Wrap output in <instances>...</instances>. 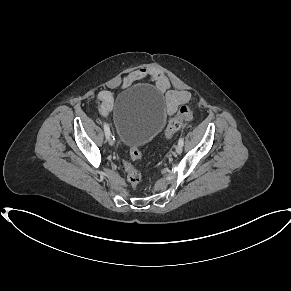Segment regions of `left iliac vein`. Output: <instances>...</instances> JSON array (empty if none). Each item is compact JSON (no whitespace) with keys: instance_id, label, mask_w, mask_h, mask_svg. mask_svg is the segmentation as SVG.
I'll list each match as a JSON object with an SVG mask.
<instances>
[{"instance_id":"left-iliac-vein-1","label":"left iliac vein","mask_w":291,"mask_h":291,"mask_svg":"<svg viewBox=\"0 0 291 291\" xmlns=\"http://www.w3.org/2000/svg\"><path fill=\"white\" fill-rule=\"evenodd\" d=\"M182 150H183V145L178 143V145L175 148L176 153L180 154L182 152Z\"/></svg>"}]
</instances>
